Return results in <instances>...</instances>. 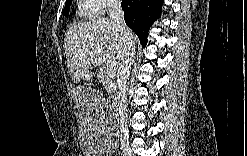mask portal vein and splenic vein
I'll return each instance as SVG.
<instances>
[{"mask_svg": "<svg viewBox=\"0 0 247 156\" xmlns=\"http://www.w3.org/2000/svg\"><path fill=\"white\" fill-rule=\"evenodd\" d=\"M116 69H117V67H116V64L115 63H109L106 66V71L108 73H114L116 71Z\"/></svg>", "mask_w": 247, "mask_h": 156, "instance_id": "portal-vein-and-splenic-vein-1", "label": "portal vein and splenic vein"}]
</instances>
